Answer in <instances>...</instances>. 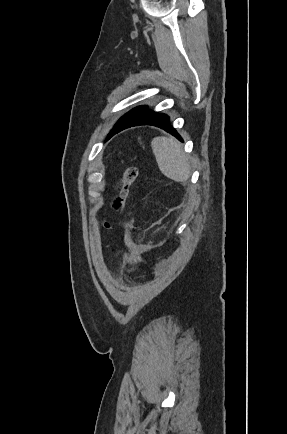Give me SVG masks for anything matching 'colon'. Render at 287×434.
I'll return each mask as SVG.
<instances>
[{"label":"colon","mask_w":287,"mask_h":434,"mask_svg":"<svg viewBox=\"0 0 287 434\" xmlns=\"http://www.w3.org/2000/svg\"><path fill=\"white\" fill-rule=\"evenodd\" d=\"M138 177V169L135 166H127L118 177L114 186V194L109 203V211L111 214H117L128 194L129 188ZM103 228L107 231L111 229V222L105 218L102 221Z\"/></svg>","instance_id":"5ec220e1"}]
</instances>
